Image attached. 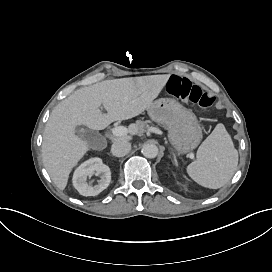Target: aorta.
<instances>
[{"instance_id":"aorta-1","label":"aorta","mask_w":272,"mask_h":272,"mask_svg":"<svg viewBox=\"0 0 272 272\" xmlns=\"http://www.w3.org/2000/svg\"><path fill=\"white\" fill-rule=\"evenodd\" d=\"M158 147L155 144H144L141 152L147 158H155L158 155Z\"/></svg>"}]
</instances>
